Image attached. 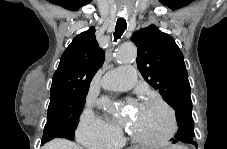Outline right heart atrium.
<instances>
[{"label": "right heart atrium", "mask_w": 227, "mask_h": 149, "mask_svg": "<svg viewBox=\"0 0 227 149\" xmlns=\"http://www.w3.org/2000/svg\"><path fill=\"white\" fill-rule=\"evenodd\" d=\"M77 137L85 146L109 147L116 144L120 131L95 115L90 109H86L79 121Z\"/></svg>", "instance_id": "d8ad5b80"}]
</instances>
